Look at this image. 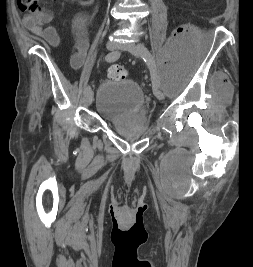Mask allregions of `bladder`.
<instances>
[{"mask_svg":"<svg viewBox=\"0 0 253 267\" xmlns=\"http://www.w3.org/2000/svg\"><path fill=\"white\" fill-rule=\"evenodd\" d=\"M146 103L142 88L136 82L107 80L98 88L96 109L105 117L115 118L141 111Z\"/></svg>","mask_w":253,"mask_h":267,"instance_id":"1","label":"bladder"}]
</instances>
